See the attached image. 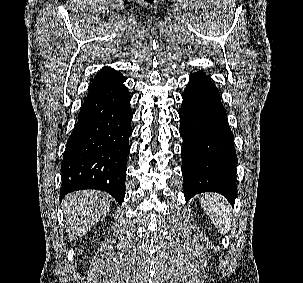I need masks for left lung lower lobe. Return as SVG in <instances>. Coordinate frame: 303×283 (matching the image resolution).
Masks as SVG:
<instances>
[{"instance_id": "obj_1", "label": "left lung lower lobe", "mask_w": 303, "mask_h": 283, "mask_svg": "<svg viewBox=\"0 0 303 283\" xmlns=\"http://www.w3.org/2000/svg\"><path fill=\"white\" fill-rule=\"evenodd\" d=\"M179 112L184 196L217 192L233 204L237 156L233 133L217 87L202 71L193 73Z\"/></svg>"}]
</instances>
